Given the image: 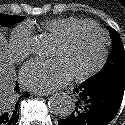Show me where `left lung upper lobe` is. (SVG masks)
<instances>
[{
  "label": "left lung upper lobe",
  "instance_id": "1",
  "mask_svg": "<svg viewBox=\"0 0 125 125\" xmlns=\"http://www.w3.org/2000/svg\"><path fill=\"white\" fill-rule=\"evenodd\" d=\"M112 37L113 48L103 69L95 76L87 79L85 82L89 85L98 84L107 80L125 76V51L121 38L117 31L109 27Z\"/></svg>",
  "mask_w": 125,
  "mask_h": 125
}]
</instances>
